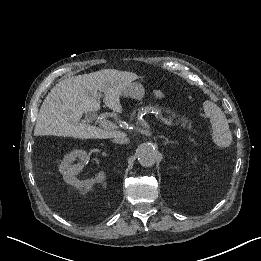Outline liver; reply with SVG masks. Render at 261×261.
<instances>
[{
	"label": "liver",
	"mask_w": 261,
	"mask_h": 261,
	"mask_svg": "<svg viewBox=\"0 0 261 261\" xmlns=\"http://www.w3.org/2000/svg\"><path fill=\"white\" fill-rule=\"evenodd\" d=\"M138 79L137 74L101 70L70 77L57 83L41 105L34 129L35 136H63L79 139L114 138L121 131L90 126L81 121L83 114L100 110V93L104 103L122 112L119 97L126 86Z\"/></svg>",
	"instance_id": "6515ba94"
}]
</instances>
